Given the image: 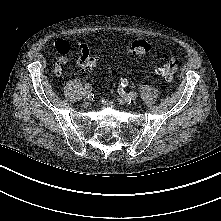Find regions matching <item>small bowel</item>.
<instances>
[{"instance_id":"1","label":"small bowel","mask_w":221,"mask_h":221,"mask_svg":"<svg viewBox=\"0 0 221 221\" xmlns=\"http://www.w3.org/2000/svg\"><path fill=\"white\" fill-rule=\"evenodd\" d=\"M54 46L59 53V57L57 61L55 62V66H54L55 73L58 75L62 72L63 66L66 65L68 62L67 55L69 54L71 48L77 51L80 55H83L84 53L89 52L88 47L85 44L80 43V42H77L73 46H71L65 40H57L54 43ZM77 65L81 67L80 59L77 61Z\"/></svg>"}]
</instances>
